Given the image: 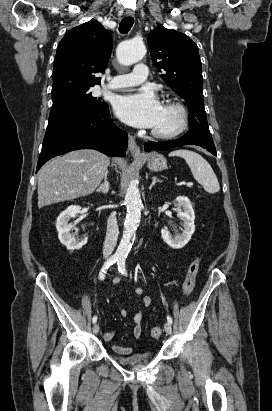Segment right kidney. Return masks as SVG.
<instances>
[{"mask_svg": "<svg viewBox=\"0 0 272 411\" xmlns=\"http://www.w3.org/2000/svg\"><path fill=\"white\" fill-rule=\"evenodd\" d=\"M81 212V207L77 205H71L66 210L61 212L56 221V228L58 231V238L60 242L66 246L70 251L78 250L82 248L83 245L87 243V238L83 240H78L70 232L71 224L69 223L70 218H74L76 214Z\"/></svg>", "mask_w": 272, "mask_h": 411, "instance_id": "right-kidney-1", "label": "right kidney"}]
</instances>
